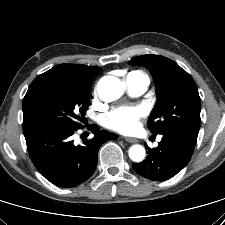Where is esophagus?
Listing matches in <instances>:
<instances>
[{
	"instance_id": "1",
	"label": "esophagus",
	"mask_w": 225,
	"mask_h": 225,
	"mask_svg": "<svg viewBox=\"0 0 225 225\" xmlns=\"http://www.w3.org/2000/svg\"><path fill=\"white\" fill-rule=\"evenodd\" d=\"M124 139H125V141H127L129 143H136V142H138V140L136 138L125 137Z\"/></svg>"
}]
</instances>
